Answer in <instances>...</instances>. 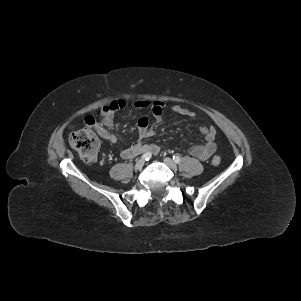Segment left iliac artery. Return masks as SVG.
Masks as SVG:
<instances>
[{"label":"left iliac artery","mask_w":301,"mask_h":301,"mask_svg":"<svg viewBox=\"0 0 301 301\" xmlns=\"http://www.w3.org/2000/svg\"><path fill=\"white\" fill-rule=\"evenodd\" d=\"M173 160H174L175 163H179L180 162V157L178 155H174Z\"/></svg>","instance_id":"1"}]
</instances>
